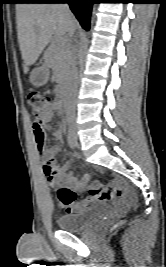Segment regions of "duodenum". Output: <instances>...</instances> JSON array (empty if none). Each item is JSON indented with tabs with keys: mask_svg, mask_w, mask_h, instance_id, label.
I'll use <instances>...</instances> for the list:
<instances>
[{
	"mask_svg": "<svg viewBox=\"0 0 166 267\" xmlns=\"http://www.w3.org/2000/svg\"><path fill=\"white\" fill-rule=\"evenodd\" d=\"M66 95H67V85L66 83H62L59 88V96L61 98L60 104L63 103V100L65 99Z\"/></svg>",
	"mask_w": 166,
	"mask_h": 267,
	"instance_id": "410a0bca",
	"label": "duodenum"
}]
</instances>
